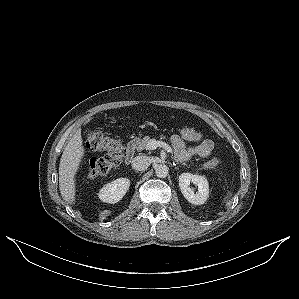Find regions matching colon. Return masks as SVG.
I'll return each instance as SVG.
<instances>
[{"instance_id":"1","label":"colon","mask_w":299,"mask_h":299,"mask_svg":"<svg viewBox=\"0 0 299 299\" xmlns=\"http://www.w3.org/2000/svg\"><path fill=\"white\" fill-rule=\"evenodd\" d=\"M184 141L196 142L203 138V133L194 127H181L177 131ZM87 147L94 151H104L102 157L90 159L87 167L89 177H100L107 175L113 168L118 166L124 157L125 149L122 143L113 137L100 132L90 131L86 138ZM215 165L216 161L209 163Z\"/></svg>"}]
</instances>
